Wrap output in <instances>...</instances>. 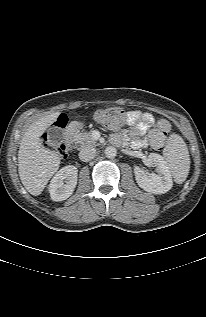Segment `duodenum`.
Returning a JSON list of instances; mask_svg holds the SVG:
<instances>
[{"label":"duodenum","mask_w":206,"mask_h":317,"mask_svg":"<svg viewBox=\"0 0 206 317\" xmlns=\"http://www.w3.org/2000/svg\"><path fill=\"white\" fill-rule=\"evenodd\" d=\"M82 128V124L80 121L75 120L72 122V124L69 125V127L65 130L64 135V142L63 145L65 148L70 149L73 147L75 142V135L78 131H80Z\"/></svg>","instance_id":"410a0bca"}]
</instances>
